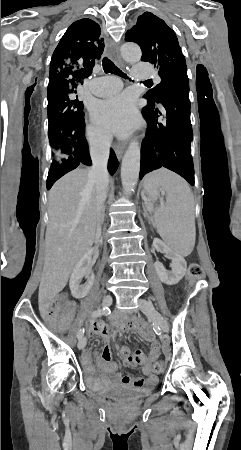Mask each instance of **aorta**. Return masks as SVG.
Masks as SVG:
<instances>
[{"instance_id": "obj_1", "label": "aorta", "mask_w": 241, "mask_h": 450, "mask_svg": "<svg viewBox=\"0 0 241 450\" xmlns=\"http://www.w3.org/2000/svg\"><path fill=\"white\" fill-rule=\"evenodd\" d=\"M121 54L128 62H138L141 59L142 52L138 45L132 43L123 44ZM140 146L139 143L132 141L124 154L121 165V182L126 193L134 191L138 182L140 173Z\"/></svg>"}]
</instances>
